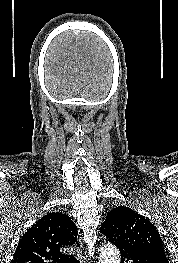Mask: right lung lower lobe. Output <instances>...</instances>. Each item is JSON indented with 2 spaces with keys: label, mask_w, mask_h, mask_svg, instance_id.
<instances>
[{
  "label": "right lung lower lobe",
  "mask_w": 178,
  "mask_h": 263,
  "mask_svg": "<svg viewBox=\"0 0 178 263\" xmlns=\"http://www.w3.org/2000/svg\"><path fill=\"white\" fill-rule=\"evenodd\" d=\"M75 263H80L79 260L75 261Z\"/></svg>",
  "instance_id": "98d812e1"
}]
</instances>
